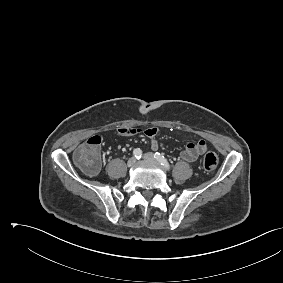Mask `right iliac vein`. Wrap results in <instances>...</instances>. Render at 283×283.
<instances>
[{"label": "right iliac vein", "instance_id": "1", "mask_svg": "<svg viewBox=\"0 0 283 283\" xmlns=\"http://www.w3.org/2000/svg\"><path fill=\"white\" fill-rule=\"evenodd\" d=\"M136 163V159L134 157H131L128 161H127V165L128 167L133 166Z\"/></svg>", "mask_w": 283, "mask_h": 283}]
</instances>
